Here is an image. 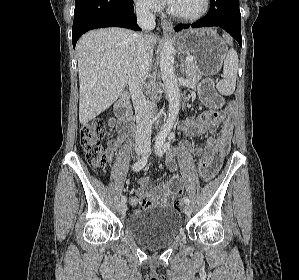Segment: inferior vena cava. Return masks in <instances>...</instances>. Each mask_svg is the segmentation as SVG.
<instances>
[{"mask_svg": "<svg viewBox=\"0 0 299 280\" xmlns=\"http://www.w3.org/2000/svg\"><path fill=\"white\" fill-rule=\"evenodd\" d=\"M136 15L138 25L143 32L136 40V51L133 66L129 75L128 85L133 101L137 131L135 137L136 145L148 144L151 141L152 113L151 106L147 103L143 93V85L150 69L153 48L150 43L151 34L155 26V16L150 12L145 3H137Z\"/></svg>", "mask_w": 299, "mask_h": 280, "instance_id": "1", "label": "inferior vena cava"}]
</instances>
